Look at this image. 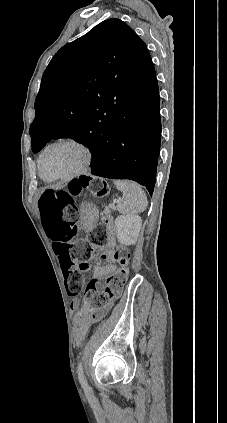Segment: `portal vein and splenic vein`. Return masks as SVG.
I'll list each match as a JSON object with an SVG mask.
<instances>
[{"label":"portal vein and splenic vein","instance_id":"18ae733b","mask_svg":"<svg viewBox=\"0 0 227 423\" xmlns=\"http://www.w3.org/2000/svg\"><path fill=\"white\" fill-rule=\"evenodd\" d=\"M121 203V200L120 199H114L112 202H111V209L112 210H115L116 209V205L117 204H120Z\"/></svg>","mask_w":227,"mask_h":423}]
</instances>
